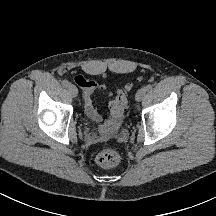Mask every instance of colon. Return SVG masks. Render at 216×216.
Segmentation results:
<instances>
[{"label":"colon","instance_id":"obj_1","mask_svg":"<svg viewBox=\"0 0 216 216\" xmlns=\"http://www.w3.org/2000/svg\"><path fill=\"white\" fill-rule=\"evenodd\" d=\"M131 88V84L121 88L116 98L110 103V110L116 119H121L127 108V92ZM97 165L102 168H111L117 165L120 161L119 153L114 149H107L100 152L95 159Z\"/></svg>","mask_w":216,"mask_h":216}]
</instances>
